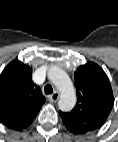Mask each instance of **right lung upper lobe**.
Here are the masks:
<instances>
[{
	"instance_id": "cb5924a9",
	"label": "right lung upper lobe",
	"mask_w": 118,
	"mask_h": 142,
	"mask_svg": "<svg viewBox=\"0 0 118 142\" xmlns=\"http://www.w3.org/2000/svg\"><path fill=\"white\" fill-rule=\"evenodd\" d=\"M31 74L32 68L18 60L0 74V122L10 129L27 128L46 101Z\"/></svg>"
}]
</instances>
